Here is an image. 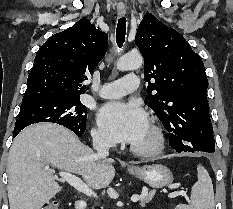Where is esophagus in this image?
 <instances>
[{
  "label": "esophagus",
  "mask_w": 233,
  "mask_h": 209,
  "mask_svg": "<svg viewBox=\"0 0 233 209\" xmlns=\"http://www.w3.org/2000/svg\"><path fill=\"white\" fill-rule=\"evenodd\" d=\"M117 12H118V14L121 15V16L125 15V13H126V8H125V6H124L123 4H119V5L117 6Z\"/></svg>",
  "instance_id": "34e87169"
}]
</instances>
